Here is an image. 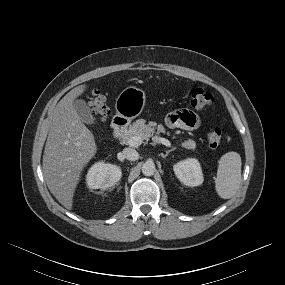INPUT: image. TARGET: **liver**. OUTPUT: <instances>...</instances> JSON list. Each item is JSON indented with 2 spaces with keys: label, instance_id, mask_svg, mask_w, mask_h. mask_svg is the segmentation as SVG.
Returning <instances> with one entry per match:
<instances>
[{
  "label": "liver",
  "instance_id": "liver-1",
  "mask_svg": "<svg viewBox=\"0 0 285 285\" xmlns=\"http://www.w3.org/2000/svg\"><path fill=\"white\" fill-rule=\"evenodd\" d=\"M79 85L56 105L43 154V171L50 192L66 209L73 197L83 168L95 156L97 145L91 131L77 114L74 101L86 90Z\"/></svg>",
  "mask_w": 285,
  "mask_h": 285
}]
</instances>
